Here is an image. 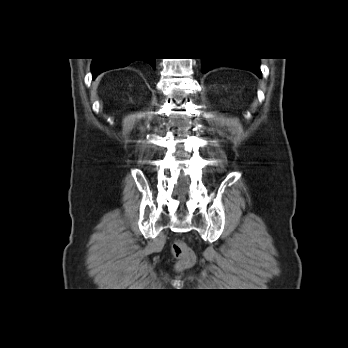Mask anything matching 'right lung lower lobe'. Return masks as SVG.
Wrapping results in <instances>:
<instances>
[{
    "label": "right lung lower lobe",
    "mask_w": 348,
    "mask_h": 348,
    "mask_svg": "<svg viewBox=\"0 0 348 348\" xmlns=\"http://www.w3.org/2000/svg\"><path fill=\"white\" fill-rule=\"evenodd\" d=\"M135 59L121 58V59H112V58H99L93 59L91 64L92 77L93 79L100 74L109 69L125 67ZM145 62L149 63L153 68H155V58L143 59Z\"/></svg>",
    "instance_id": "1"
}]
</instances>
